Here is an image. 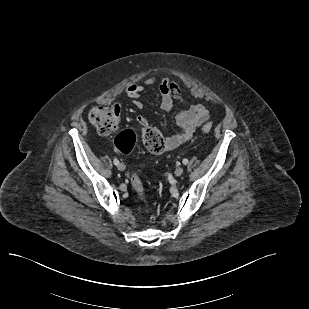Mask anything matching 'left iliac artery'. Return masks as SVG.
I'll return each instance as SVG.
<instances>
[{"instance_id":"left-iliac-artery-1","label":"left iliac artery","mask_w":309,"mask_h":309,"mask_svg":"<svg viewBox=\"0 0 309 309\" xmlns=\"http://www.w3.org/2000/svg\"><path fill=\"white\" fill-rule=\"evenodd\" d=\"M182 162H183V164H185V165L188 164V160H187V159H183Z\"/></svg>"}]
</instances>
